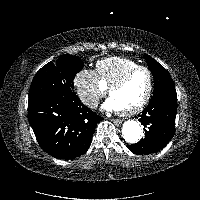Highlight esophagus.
I'll list each match as a JSON object with an SVG mask.
<instances>
[{
	"instance_id": "obj_1",
	"label": "esophagus",
	"mask_w": 200,
	"mask_h": 200,
	"mask_svg": "<svg viewBox=\"0 0 200 200\" xmlns=\"http://www.w3.org/2000/svg\"><path fill=\"white\" fill-rule=\"evenodd\" d=\"M112 121H113L115 124H121V123H122V120H120V119H112Z\"/></svg>"
}]
</instances>
